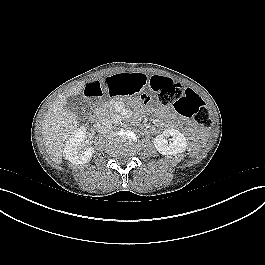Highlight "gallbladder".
Instances as JSON below:
<instances>
[{
  "label": "gallbladder",
  "instance_id": "obj_1",
  "mask_svg": "<svg viewBox=\"0 0 265 265\" xmlns=\"http://www.w3.org/2000/svg\"><path fill=\"white\" fill-rule=\"evenodd\" d=\"M66 108L77 114L78 118L81 120H85L89 116V103L88 101L78 95H72L67 98Z\"/></svg>",
  "mask_w": 265,
  "mask_h": 265
}]
</instances>
